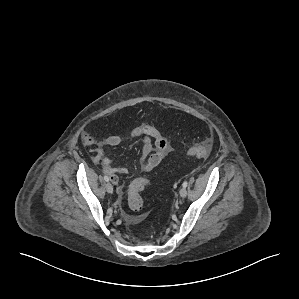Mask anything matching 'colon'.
<instances>
[{
	"label": "colon",
	"instance_id": "colon-1",
	"mask_svg": "<svg viewBox=\"0 0 299 299\" xmlns=\"http://www.w3.org/2000/svg\"><path fill=\"white\" fill-rule=\"evenodd\" d=\"M84 140L86 143H91L92 139L91 136L85 135ZM211 152V144L206 142L202 144H197L189 148L187 151V155L190 157H197V158H206L209 156ZM150 183L149 179L140 177L134 179L128 189V203L132 210H140L143 205V200L141 197L142 190L148 186ZM144 216H140L137 221H142Z\"/></svg>",
	"mask_w": 299,
	"mask_h": 299
}]
</instances>
